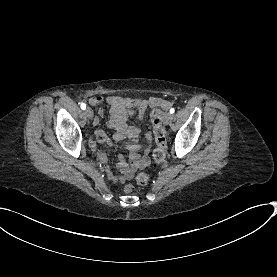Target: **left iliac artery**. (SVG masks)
I'll return each instance as SVG.
<instances>
[{
	"label": "left iliac artery",
	"mask_w": 277,
	"mask_h": 277,
	"mask_svg": "<svg viewBox=\"0 0 277 277\" xmlns=\"http://www.w3.org/2000/svg\"><path fill=\"white\" fill-rule=\"evenodd\" d=\"M175 112V109L174 108H171L170 109V113L173 114Z\"/></svg>",
	"instance_id": "1"
}]
</instances>
